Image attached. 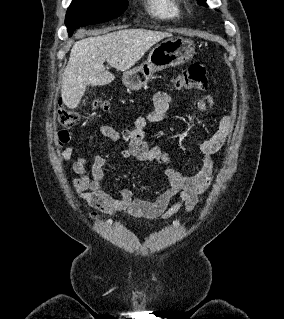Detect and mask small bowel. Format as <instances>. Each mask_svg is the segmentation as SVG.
Returning a JSON list of instances; mask_svg holds the SVG:
<instances>
[{"label": "small bowel", "mask_w": 284, "mask_h": 319, "mask_svg": "<svg viewBox=\"0 0 284 319\" xmlns=\"http://www.w3.org/2000/svg\"><path fill=\"white\" fill-rule=\"evenodd\" d=\"M172 103L171 96L164 91L157 92L153 99V107L146 117L135 120L132 129L118 132L116 129L103 125L99 134L111 141L123 140L127 147L121 151L124 158H133L138 161H155L164 167V175L168 182L165 190L156 192L154 200L134 198L131 190L120 188L119 198H114L107 192L104 183L103 167L108 158L97 155L89 159L79 157L72 169L78 175L73 182V189L77 196L85 201L96 212L90 214L92 220L99 219L97 212L113 215L116 212H125L134 218H144L150 221L167 220L182 207L184 213L189 214L194 210L202 195L213 180V160L216 154L230 137L234 122L229 116L220 118L217 129L208 137L198 142L202 160L198 171L194 174H186L174 167L171 157L157 148H150L145 142V128L148 122L162 121ZM194 106L201 112L215 107V101L211 97H196ZM72 139V133L68 130L58 132L56 145L62 149L60 158L69 161L75 151V147H64ZM90 162L91 168L87 172L86 165ZM175 200L173 201V199Z\"/></svg>", "instance_id": "c3829d8e"}]
</instances>
